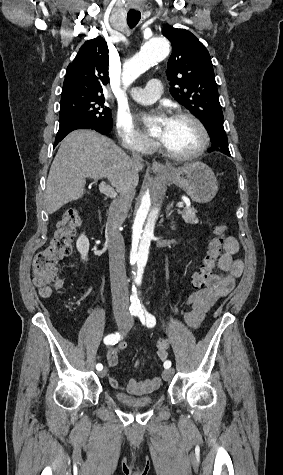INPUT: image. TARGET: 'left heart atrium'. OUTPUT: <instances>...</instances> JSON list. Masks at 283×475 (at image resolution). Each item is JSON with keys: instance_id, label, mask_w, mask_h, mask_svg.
Here are the masks:
<instances>
[{"instance_id": "left-heart-atrium-1", "label": "left heart atrium", "mask_w": 283, "mask_h": 475, "mask_svg": "<svg viewBox=\"0 0 283 475\" xmlns=\"http://www.w3.org/2000/svg\"><path fill=\"white\" fill-rule=\"evenodd\" d=\"M158 126L161 128V129H166V127L168 126L169 122H170V119L164 114V113H160L156 118H155Z\"/></svg>"}]
</instances>
